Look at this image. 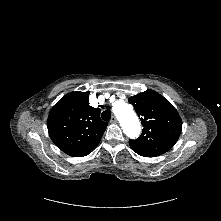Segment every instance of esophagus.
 Listing matches in <instances>:
<instances>
[{"mask_svg": "<svg viewBox=\"0 0 221 221\" xmlns=\"http://www.w3.org/2000/svg\"><path fill=\"white\" fill-rule=\"evenodd\" d=\"M110 122L111 123H117V118L115 116H112Z\"/></svg>", "mask_w": 221, "mask_h": 221, "instance_id": "esophagus-1", "label": "esophagus"}]
</instances>
